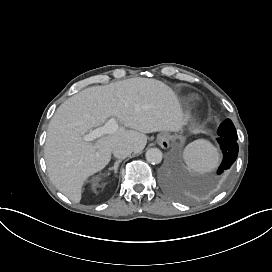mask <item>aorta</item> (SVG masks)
Returning <instances> with one entry per match:
<instances>
[{
	"mask_svg": "<svg viewBox=\"0 0 272 272\" xmlns=\"http://www.w3.org/2000/svg\"><path fill=\"white\" fill-rule=\"evenodd\" d=\"M162 158V152L157 148H151L146 152V160L151 164L161 163Z\"/></svg>",
	"mask_w": 272,
	"mask_h": 272,
	"instance_id": "762f6f07",
	"label": "aorta"
}]
</instances>
